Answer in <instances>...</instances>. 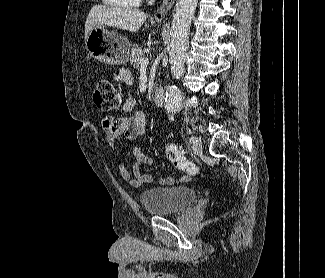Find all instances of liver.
Returning <instances> with one entry per match:
<instances>
[{
    "label": "liver",
    "mask_w": 325,
    "mask_h": 278,
    "mask_svg": "<svg viewBox=\"0 0 325 278\" xmlns=\"http://www.w3.org/2000/svg\"><path fill=\"white\" fill-rule=\"evenodd\" d=\"M147 19V14L132 8L95 5L91 8L85 23V41L95 26L108 25L129 32H136Z\"/></svg>",
    "instance_id": "6515ba94"
}]
</instances>
